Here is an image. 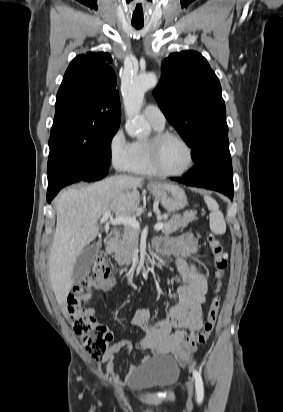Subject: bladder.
Returning a JSON list of instances; mask_svg holds the SVG:
<instances>
[{"label":"bladder","mask_w":283,"mask_h":412,"mask_svg":"<svg viewBox=\"0 0 283 412\" xmlns=\"http://www.w3.org/2000/svg\"><path fill=\"white\" fill-rule=\"evenodd\" d=\"M179 376V367L171 357L148 361L129 374L130 386L139 389H162L174 384Z\"/></svg>","instance_id":"obj_1"}]
</instances>
